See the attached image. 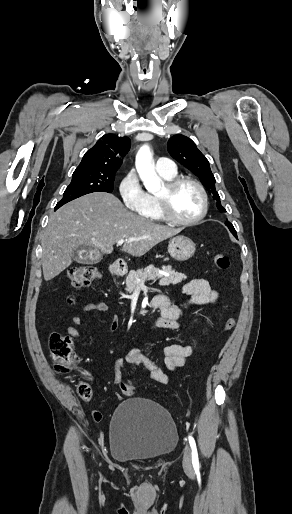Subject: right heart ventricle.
I'll return each instance as SVG.
<instances>
[{
  "label": "right heart ventricle",
  "mask_w": 292,
  "mask_h": 514,
  "mask_svg": "<svg viewBox=\"0 0 292 514\" xmlns=\"http://www.w3.org/2000/svg\"><path fill=\"white\" fill-rule=\"evenodd\" d=\"M159 175L163 180H165L167 182L174 180L176 177V175L173 177H166L161 174H159ZM139 212H140V214H142L148 218H151V219H154L157 221H164V218L158 208V205H157V202L155 199V194L146 193V202H145L144 206L139 210Z\"/></svg>",
  "instance_id": "1"
}]
</instances>
